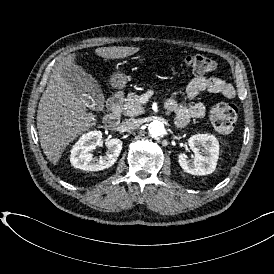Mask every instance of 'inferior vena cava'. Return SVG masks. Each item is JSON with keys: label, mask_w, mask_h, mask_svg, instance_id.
<instances>
[{"label": "inferior vena cava", "mask_w": 274, "mask_h": 274, "mask_svg": "<svg viewBox=\"0 0 274 274\" xmlns=\"http://www.w3.org/2000/svg\"><path fill=\"white\" fill-rule=\"evenodd\" d=\"M140 126L138 119L129 118L121 123V127L124 131L131 132L136 130Z\"/></svg>", "instance_id": "602c4592"}]
</instances>
